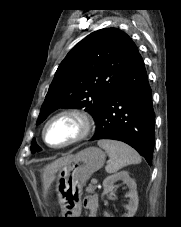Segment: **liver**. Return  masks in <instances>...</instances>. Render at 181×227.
Returning <instances> with one entry per match:
<instances>
[{"mask_svg": "<svg viewBox=\"0 0 181 227\" xmlns=\"http://www.w3.org/2000/svg\"><path fill=\"white\" fill-rule=\"evenodd\" d=\"M74 155H67L65 157L59 158L52 162L51 164H48L43 169L42 173V182H43V189H44V195L48 193V190L51 187V184L56 178V173L66 164H68L72 159Z\"/></svg>", "mask_w": 181, "mask_h": 227, "instance_id": "liver-1", "label": "liver"}]
</instances>
